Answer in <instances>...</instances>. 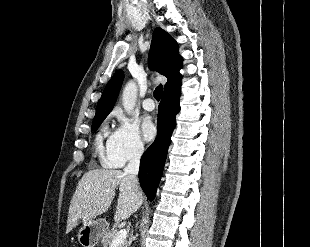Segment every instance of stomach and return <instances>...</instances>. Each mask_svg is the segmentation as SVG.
<instances>
[{"label": "stomach", "mask_w": 310, "mask_h": 247, "mask_svg": "<svg viewBox=\"0 0 310 247\" xmlns=\"http://www.w3.org/2000/svg\"><path fill=\"white\" fill-rule=\"evenodd\" d=\"M108 230V224L102 219L91 218L80 227L77 238L82 247H95Z\"/></svg>", "instance_id": "0dacf381"}]
</instances>
